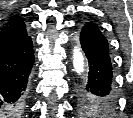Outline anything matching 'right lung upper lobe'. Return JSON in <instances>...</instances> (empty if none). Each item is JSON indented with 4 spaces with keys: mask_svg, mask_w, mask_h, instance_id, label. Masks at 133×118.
Listing matches in <instances>:
<instances>
[{
    "mask_svg": "<svg viewBox=\"0 0 133 118\" xmlns=\"http://www.w3.org/2000/svg\"><path fill=\"white\" fill-rule=\"evenodd\" d=\"M28 37L23 20L19 16L12 17L0 29V53L22 43Z\"/></svg>",
    "mask_w": 133,
    "mask_h": 118,
    "instance_id": "1",
    "label": "right lung upper lobe"
}]
</instances>
